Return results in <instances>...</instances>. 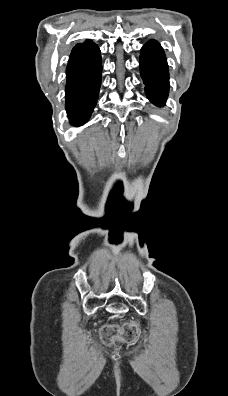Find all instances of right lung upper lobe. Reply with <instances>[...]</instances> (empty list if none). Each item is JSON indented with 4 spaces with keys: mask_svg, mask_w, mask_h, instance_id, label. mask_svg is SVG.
Here are the masks:
<instances>
[{
    "mask_svg": "<svg viewBox=\"0 0 228 396\" xmlns=\"http://www.w3.org/2000/svg\"><path fill=\"white\" fill-rule=\"evenodd\" d=\"M94 43L91 40H87L86 42H84L82 45H86V46H91Z\"/></svg>",
    "mask_w": 228,
    "mask_h": 396,
    "instance_id": "right-lung-upper-lobe-1",
    "label": "right lung upper lobe"
}]
</instances>
